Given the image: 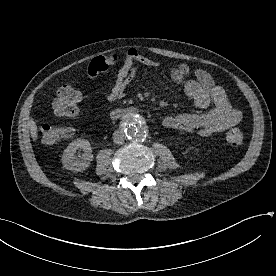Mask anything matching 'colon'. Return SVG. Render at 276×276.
Here are the masks:
<instances>
[{
  "label": "colon",
  "instance_id": "obj_1",
  "mask_svg": "<svg viewBox=\"0 0 276 276\" xmlns=\"http://www.w3.org/2000/svg\"><path fill=\"white\" fill-rule=\"evenodd\" d=\"M82 94L79 89L72 85H64L57 91L53 101L55 114L61 117L72 118L80 114L79 103ZM42 140L46 144H54L69 137L72 130L68 127H57L52 125H42L40 127ZM226 142L232 147H239L243 144L244 137L238 128H231L225 134Z\"/></svg>",
  "mask_w": 276,
  "mask_h": 276
}]
</instances>
